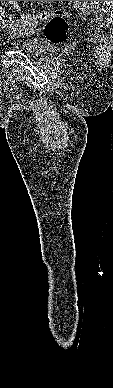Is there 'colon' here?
Instances as JSON below:
<instances>
[{
    "mask_svg": "<svg viewBox=\"0 0 113 388\" xmlns=\"http://www.w3.org/2000/svg\"><path fill=\"white\" fill-rule=\"evenodd\" d=\"M45 23L44 36L52 44H61L67 39L69 24L61 12L51 15L38 14L35 17ZM17 19L6 13L0 6V25L6 28H14Z\"/></svg>",
    "mask_w": 113,
    "mask_h": 388,
    "instance_id": "5ec220e1",
    "label": "colon"
}]
</instances>
